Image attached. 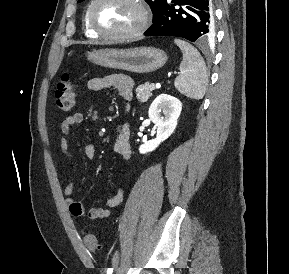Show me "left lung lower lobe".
I'll use <instances>...</instances> for the list:
<instances>
[{
  "instance_id": "left-lung-lower-lobe-1",
  "label": "left lung lower lobe",
  "mask_w": 289,
  "mask_h": 274,
  "mask_svg": "<svg viewBox=\"0 0 289 274\" xmlns=\"http://www.w3.org/2000/svg\"><path fill=\"white\" fill-rule=\"evenodd\" d=\"M144 35L177 36L192 42H207L214 36L210 0H167L158 19Z\"/></svg>"
}]
</instances>
